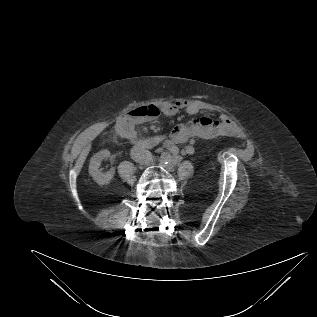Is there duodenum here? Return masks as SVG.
I'll return each mask as SVG.
<instances>
[{
	"mask_svg": "<svg viewBox=\"0 0 317 317\" xmlns=\"http://www.w3.org/2000/svg\"><path fill=\"white\" fill-rule=\"evenodd\" d=\"M126 120H128V118L124 117L123 121H126ZM119 136H125L133 143L134 146H142V147H154V146L158 145L160 143L161 139H162L161 136L157 135V136L149 137V138L144 139V140H140L138 138L130 137V136L126 135V134L119 133L116 130V133L112 137V140L114 141Z\"/></svg>",
	"mask_w": 317,
	"mask_h": 317,
	"instance_id": "1",
	"label": "duodenum"
}]
</instances>
